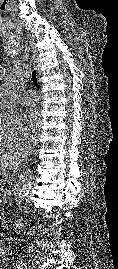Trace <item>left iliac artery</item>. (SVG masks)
Masks as SVG:
<instances>
[{"mask_svg":"<svg viewBox=\"0 0 118 269\" xmlns=\"http://www.w3.org/2000/svg\"><path fill=\"white\" fill-rule=\"evenodd\" d=\"M17 269H27V265L21 260L16 262Z\"/></svg>","mask_w":118,"mask_h":269,"instance_id":"obj_1","label":"left iliac artery"}]
</instances>
